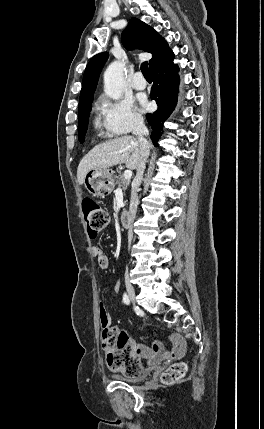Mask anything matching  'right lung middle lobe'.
Listing matches in <instances>:
<instances>
[{
	"instance_id": "right-lung-middle-lobe-1",
	"label": "right lung middle lobe",
	"mask_w": 264,
	"mask_h": 429,
	"mask_svg": "<svg viewBox=\"0 0 264 429\" xmlns=\"http://www.w3.org/2000/svg\"><path fill=\"white\" fill-rule=\"evenodd\" d=\"M92 102L79 106L78 114V137L79 141L82 143L85 139V134L87 131L88 118L91 111Z\"/></svg>"
}]
</instances>
